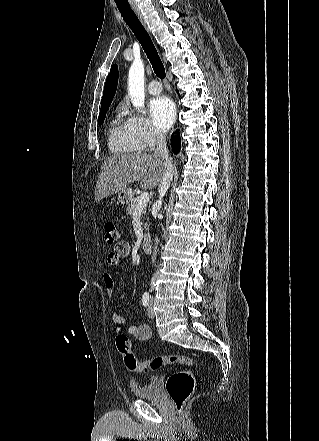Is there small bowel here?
Wrapping results in <instances>:
<instances>
[{"label":"small bowel","mask_w":319,"mask_h":441,"mask_svg":"<svg viewBox=\"0 0 319 441\" xmlns=\"http://www.w3.org/2000/svg\"><path fill=\"white\" fill-rule=\"evenodd\" d=\"M130 247L127 242H119L115 249L108 253L107 262L109 265H117L120 260L126 258L129 255ZM104 284L106 288V293L109 298L114 295V279L110 273L104 274ZM111 319L116 324H124L127 321L125 315L118 313L117 311H112ZM127 332L132 335L135 339L139 341H146L151 338V330L148 325H133L128 327Z\"/></svg>","instance_id":"obj_1"}]
</instances>
